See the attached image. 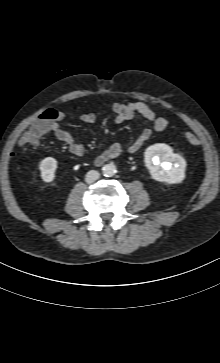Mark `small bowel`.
Wrapping results in <instances>:
<instances>
[{
	"mask_svg": "<svg viewBox=\"0 0 220 363\" xmlns=\"http://www.w3.org/2000/svg\"><path fill=\"white\" fill-rule=\"evenodd\" d=\"M112 112L114 113L115 120L118 123L131 120L135 116H140L152 124V128H146L142 130L138 137L131 143V145L128 147V151L130 153L138 152L151 138L153 132H162L168 125L167 119L158 116L152 108L141 102L115 103L112 106ZM64 117V112H59L57 120H62ZM80 119L82 122L87 124H93L96 122V116L93 113H84L81 115ZM51 129L55 137L68 147L70 153L75 156H82L84 154V146L76 140L72 133L63 129L58 121H55L52 124ZM37 142L33 143V145L37 144ZM20 143L26 144L25 139L22 138ZM121 153L122 146L118 143H112L99 156L98 160L103 162L108 159H114L117 158Z\"/></svg>",
	"mask_w": 220,
	"mask_h": 363,
	"instance_id": "obj_1",
	"label": "small bowel"
}]
</instances>
